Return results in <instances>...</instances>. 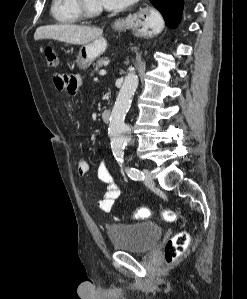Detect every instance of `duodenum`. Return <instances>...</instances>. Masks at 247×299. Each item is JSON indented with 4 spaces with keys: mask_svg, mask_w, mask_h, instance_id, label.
Returning a JSON list of instances; mask_svg holds the SVG:
<instances>
[{
    "mask_svg": "<svg viewBox=\"0 0 247 299\" xmlns=\"http://www.w3.org/2000/svg\"><path fill=\"white\" fill-rule=\"evenodd\" d=\"M111 112L110 110H103L101 113V119L103 122L108 123L110 121Z\"/></svg>",
    "mask_w": 247,
    "mask_h": 299,
    "instance_id": "410a0bca",
    "label": "duodenum"
}]
</instances>
